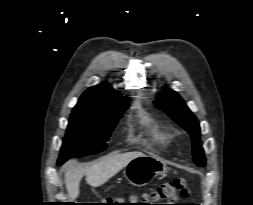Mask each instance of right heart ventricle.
Returning a JSON list of instances; mask_svg holds the SVG:
<instances>
[{"label": "right heart ventricle", "mask_w": 253, "mask_h": 205, "mask_svg": "<svg viewBox=\"0 0 253 205\" xmlns=\"http://www.w3.org/2000/svg\"><path fill=\"white\" fill-rule=\"evenodd\" d=\"M142 124L149 129L155 140L159 142H165L167 140V136L157 128L155 121L151 116L144 115L142 118Z\"/></svg>", "instance_id": "right-heart-ventricle-1"}]
</instances>
